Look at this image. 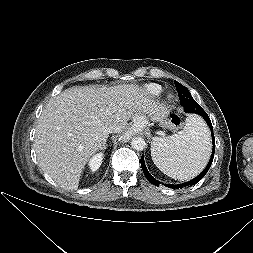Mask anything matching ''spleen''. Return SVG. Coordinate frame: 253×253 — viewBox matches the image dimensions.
Returning <instances> with one entry per match:
<instances>
[{"instance_id": "spleen-1", "label": "spleen", "mask_w": 253, "mask_h": 253, "mask_svg": "<svg viewBox=\"0 0 253 253\" xmlns=\"http://www.w3.org/2000/svg\"><path fill=\"white\" fill-rule=\"evenodd\" d=\"M211 153L209 130L197 115L186 119L183 130L168 137H155L151 144L154 164L166 175L188 180L206 166Z\"/></svg>"}]
</instances>
